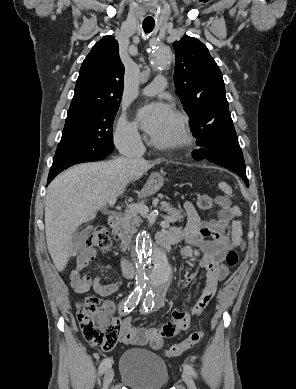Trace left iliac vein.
Listing matches in <instances>:
<instances>
[{
  "label": "left iliac vein",
  "instance_id": "obj_1",
  "mask_svg": "<svg viewBox=\"0 0 296 389\" xmlns=\"http://www.w3.org/2000/svg\"><path fill=\"white\" fill-rule=\"evenodd\" d=\"M182 379L186 383L188 389H197L191 374L186 370L182 373Z\"/></svg>",
  "mask_w": 296,
  "mask_h": 389
}]
</instances>
